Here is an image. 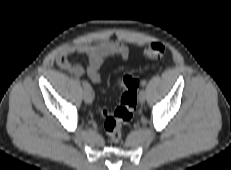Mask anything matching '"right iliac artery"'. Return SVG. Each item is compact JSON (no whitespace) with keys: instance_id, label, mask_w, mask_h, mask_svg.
Instances as JSON below:
<instances>
[{"instance_id":"obj_1","label":"right iliac artery","mask_w":231,"mask_h":170,"mask_svg":"<svg viewBox=\"0 0 231 170\" xmlns=\"http://www.w3.org/2000/svg\"><path fill=\"white\" fill-rule=\"evenodd\" d=\"M82 83H83V87H84L85 90L92 91V88H91L90 84L87 81H83Z\"/></svg>"}]
</instances>
